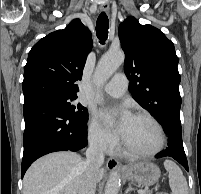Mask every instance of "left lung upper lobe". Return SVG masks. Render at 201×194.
I'll use <instances>...</instances> for the list:
<instances>
[{
    "instance_id": "left-lung-upper-lobe-1",
    "label": "left lung upper lobe",
    "mask_w": 201,
    "mask_h": 194,
    "mask_svg": "<svg viewBox=\"0 0 201 194\" xmlns=\"http://www.w3.org/2000/svg\"><path fill=\"white\" fill-rule=\"evenodd\" d=\"M119 38L133 98L159 122L167 114L180 116L179 60L172 41L159 29L141 25L134 17L120 24Z\"/></svg>"
}]
</instances>
